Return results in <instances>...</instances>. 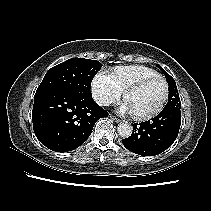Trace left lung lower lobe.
<instances>
[{
  "instance_id": "1",
  "label": "left lung lower lobe",
  "mask_w": 211,
  "mask_h": 211,
  "mask_svg": "<svg viewBox=\"0 0 211 211\" xmlns=\"http://www.w3.org/2000/svg\"><path fill=\"white\" fill-rule=\"evenodd\" d=\"M180 125V108H164L153 119L139 124L134 123L131 136L122 139V143L125 148L138 155H158L173 144Z\"/></svg>"
}]
</instances>
